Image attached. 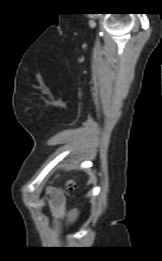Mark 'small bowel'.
<instances>
[{"instance_id":"c3829d8e","label":"small bowel","mask_w":162,"mask_h":261,"mask_svg":"<svg viewBox=\"0 0 162 261\" xmlns=\"http://www.w3.org/2000/svg\"><path fill=\"white\" fill-rule=\"evenodd\" d=\"M51 197V206H52V211L54 215L57 218H61L64 213V197L63 195L58 192V191H51L49 193Z\"/></svg>"}]
</instances>
